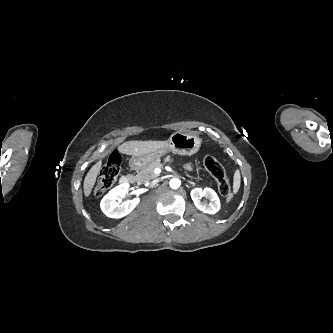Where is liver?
<instances>
[{
    "label": "liver",
    "mask_w": 333,
    "mask_h": 333,
    "mask_svg": "<svg viewBox=\"0 0 333 333\" xmlns=\"http://www.w3.org/2000/svg\"><path fill=\"white\" fill-rule=\"evenodd\" d=\"M168 146V141H128L120 146L118 150L122 154L132 155V156H142L146 154L153 153L157 150L166 148ZM102 161H98L95 165L91 167L87 173L83 189L84 195L88 197L91 194V191L95 185L97 175L100 171Z\"/></svg>",
    "instance_id": "6515ba94"
}]
</instances>
